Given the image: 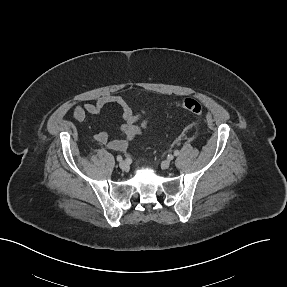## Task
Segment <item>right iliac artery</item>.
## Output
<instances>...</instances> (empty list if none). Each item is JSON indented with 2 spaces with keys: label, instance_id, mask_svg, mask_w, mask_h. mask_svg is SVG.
Masks as SVG:
<instances>
[{
  "label": "right iliac artery",
  "instance_id": "82829eb1",
  "mask_svg": "<svg viewBox=\"0 0 287 287\" xmlns=\"http://www.w3.org/2000/svg\"><path fill=\"white\" fill-rule=\"evenodd\" d=\"M122 159H123L122 156H120V155L117 156V161L120 162V161H122Z\"/></svg>",
  "mask_w": 287,
  "mask_h": 287
}]
</instances>
